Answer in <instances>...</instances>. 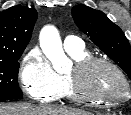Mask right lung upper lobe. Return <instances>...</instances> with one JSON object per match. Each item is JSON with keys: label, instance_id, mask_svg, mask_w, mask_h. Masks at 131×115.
<instances>
[{"label": "right lung upper lobe", "instance_id": "cb5924a9", "mask_svg": "<svg viewBox=\"0 0 131 115\" xmlns=\"http://www.w3.org/2000/svg\"><path fill=\"white\" fill-rule=\"evenodd\" d=\"M36 20L37 11L34 8L13 6L0 12V59L24 51Z\"/></svg>", "mask_w": 131, "mask_h": 115}]
</instances>
